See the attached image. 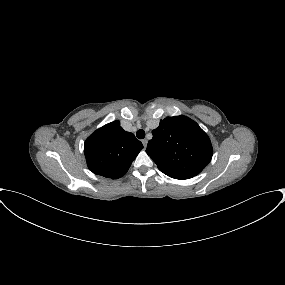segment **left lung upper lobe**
<instances>
[{
    "label": "left lung upper lobe",
    "mask_w": 285,
    "mask_h": 285,
    "mask_svg": "<svg viewBox=\"0 0 285 285\" xmlns=\"http://www.w3.org/2000/svg\"><path fill=\"white\" fill-rule=\"evenodd\" d=\"M152 134L146 152L159 170L171 178H192L211 161L209 137L186 116L166 117Z\"/></svg>",
    "instance_id": "5c2ea615"
}]
</instances>
